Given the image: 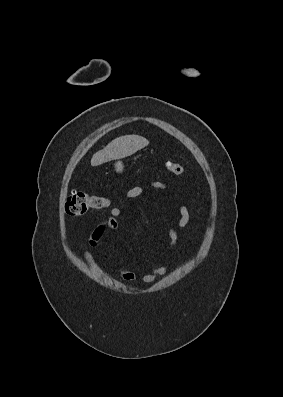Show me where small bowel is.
<instances>
[{
  "label": "small bowel",
  "instance_id": "small-bowel-1",
  "mask_svg": "<svg viewBox=\"0 0 283 397\" xmlns=\"http://www.w3.org/2000/svg\"><path fill=\"white\" fill-rule=\"evenodd\" d=\"M151 186L153 188L157 189H166L167 186L162 183V182H152ZM149 194V191L141 186H136L128 190L126 193V197L131 199V198H136L140 197L143 195ZM124 214V210L120 207H113L110 210V216L105 218L103 221H101L91 232L90 237H89V245L91 247H98L103 238V234L106 230H112L116 231L119 228V221L118 218L121 217ZM192 218L191 214L188 211V209L185 206H182L180 208V214L176 220V225L179 228H188L191 224ZM167 234L169 237V248H173L178 241V233L177 230L173 227H169L167 229ZM82 254L87 262V264L94 270L101 272L100 267L94 260L93 255L86 249L82 248ZM167 269L164 266H157L152 268L149 272L137 275L135 272L127 269V268H122L120 270V276L123 280L125 281H136L140 280L143 283H153L158 277H162L166 274Z\"/></svg>",
  "mask_w": 283,
  "mask_h": 397
}]
</instances>
